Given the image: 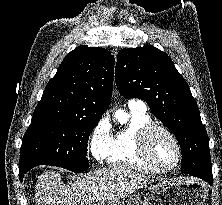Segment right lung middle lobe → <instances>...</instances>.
Wrapping results in <instances>:
<instances>
[{
  "label": "right lung middle lobe",
  "instance_id": "obj_1",
  "mask_svg": "<svg viewBox=\"0 0 222 205\" xmlns=\"http://www.w3.org/2000/svg\"><path fill=\"white\" fill-rule=\"evenodd\" d=\"M100 117H32L20 149L19 166L53 165L75 173L89 168L87 142Z\"/></svg>",
  "mask_w": 222,
  "mask_h": 205
}]
</instances>
